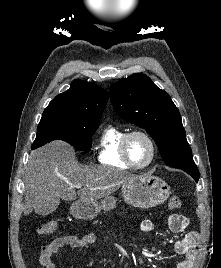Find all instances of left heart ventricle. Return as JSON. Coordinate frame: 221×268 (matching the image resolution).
I'll return each instance as SVG.
<instances>
[{
    "mask_svg": "<svg viewBox=\"0 0 221 268\" xmlns=\"http://www.w3.org/2000/svg\"><path fill=\"white\" fill-rule=\"evenodd\" d=\"M128 152L131 160L137 165L145 164L151 154L148 141L139 135L132 137L128 144Z\"/></svg>",
    "mask_w": 221,
    "mask_h": 268,
    "instance_id": "obj_1",
    "label": "left heart ventricle"
}]
</instances>
